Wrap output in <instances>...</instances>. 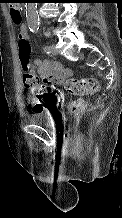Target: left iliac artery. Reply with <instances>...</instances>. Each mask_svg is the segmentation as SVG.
Instances as JSON below:
<instances>
[{
	"label": "left iliac artery",
	"mask_w": 122,
	"mask_h": 218,
	"mask_svg": "<svg viewBox=\"0 0 122 218\" xmlns=\"http://www.w3.org/2000/svg\"><path fill=\"white\" fill-rule=\"evenodd\" d=\"M44 51H45V53L50 54L51 53V47L50 46H45Z\"/></svg>",
	"instance_id": "1"
}]
</instances>
